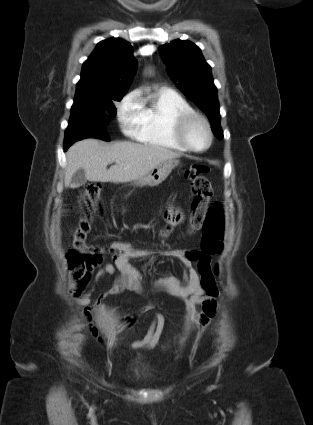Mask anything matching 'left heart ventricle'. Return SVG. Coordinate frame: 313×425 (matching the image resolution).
Segmentation results:
<instances>
[{"label": "left heart ventricle", "mask_w": 313, "mask_h": 425, "mask_svg": "<svg viewBox=\"0 0 313 425\" xmlns=\"http://www.w3.org/2000/svg\"><path fill=\"white\" fill-rule=\"evenodd\" d=\"M187 139L192 146L201 149L208 143V135L201 122H194L187 131Z\"/></svg>", "instance_id": "b2bd125f"}]
</instances>
